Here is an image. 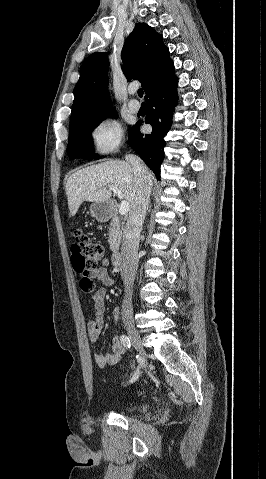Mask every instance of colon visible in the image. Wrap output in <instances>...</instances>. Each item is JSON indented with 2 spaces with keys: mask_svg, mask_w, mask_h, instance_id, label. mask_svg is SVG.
<instances>
[{
  "mask_svg": "<svg viewBox=\"0 0 266 479\" xmlns=\"http://www.w3.org/2000/svg\"><path fill=\"white\" fill-rule=\"evenodd\" d=\"M75 243L72 246L71 262L75 272L80 277V287L84 292L92 291L93 280L89 273L97 268L98 262L103 257V247L91 239L81 229L73 231Z\"/></svg>",
  "mask_w": 266,
  "mask_h": 479,
  "instance_id": "obj_1",
  "label": "colon"
}]
</instances>
